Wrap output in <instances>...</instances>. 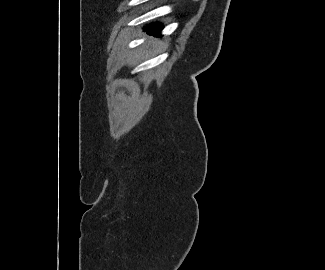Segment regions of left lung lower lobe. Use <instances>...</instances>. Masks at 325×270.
Segmentation results:
<instances>
[{"mask_svg":"<svg viewBox=\"0 0 325 270\" xmlns=\"http://www.w3.org/2000/svg\"><path fill=\"white\" fill-rule=\"evenodd\" d=\"M162 26L159 23L151 24L145 28V31H147L149 34H153L155 36H160V32L162 30Z\"/></svg>","mask_w":325,"mask_h":270,"instance_id":"0a47b994","label":"left lung lower lobe"}]
</instances>
